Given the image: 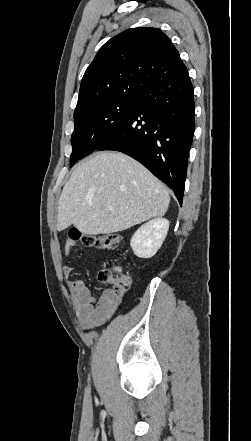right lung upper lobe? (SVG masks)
Listing matches in <instances>:
<instances>
[{"label":"right lung upper lobe","instance_id":"cb5924a9","mask_svg":"<svg viewBox=\"0 0 251 441\" xmlns=\"http://www.w3.org/2000/svg\"><path fill=\"white\" fill-rule=\"evenodd\" d=\"M184 68L177 49L162 31L128 29L106 42L85 71L74 114L105 98L142 95Z\"/></svg>","mask_w":251,"mask_h":441}]
</instances>
